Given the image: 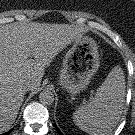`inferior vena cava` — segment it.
Listing matches in <instances>:
<instances>
[{"mask_svg":"<svg viewBox=\"0 0 135 135\" xmlns=\"http://www.w3.org/2000/svg\"><path fill=\"white\" fill-rule=\"evenodd\" d=\"M24 89H25L26 92L29 91V90H32V85L28 83L24 86Z\"/></svg>","mask_w":135,"mask_h":135,"instance_id":"inferior-vena-cava-1","label":"inferior vena cava"}]
</instances>
